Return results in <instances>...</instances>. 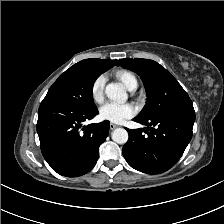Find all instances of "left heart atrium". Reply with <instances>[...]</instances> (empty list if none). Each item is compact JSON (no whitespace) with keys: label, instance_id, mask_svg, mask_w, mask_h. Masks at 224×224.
Masks as SVG:
<instances>
[{"label":"left heart atrium","instance_id":"left-heart-atrium-1","mask_svg":"<svg viewBox=\"0 0 224 224\" xmlns=\"http://www.w3.org/2000/svg\"><path fill=\"white\" fill-rule=\"evenodd\" d=\"M135 113L136 109L130 103L107 102L100 108V116L114 123H122Z\"/></svg>","mask_w":224,"mask_h":224}]
</instances>
